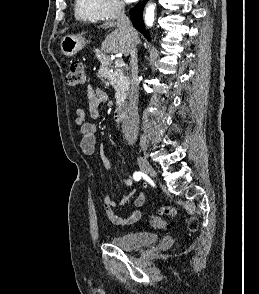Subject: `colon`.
<instances>
[{
    "instance_id": "obj_1",
    "label": "colon",
    "mask_w": 259,
    "mask_h": 294,
    "mask_svg": "<svg viewBox=\"0 0 259 294\" xmlns=\"http://www.w3.org/2000/svg\"><path fill=\"white\" fill-rule=\"evenodd\" d=\"M65 82L68 87H82L87 83V74L82 61L75 60L69 65V70L65 76ZM176 215V209L172 206H163L157 210L156 213L149 215L148 224L154 228H165L168 223L162 216L173 217ZM197 221L191 220L189 228L194 231L197 229Z\"/></svg>"
}]
</instances>
